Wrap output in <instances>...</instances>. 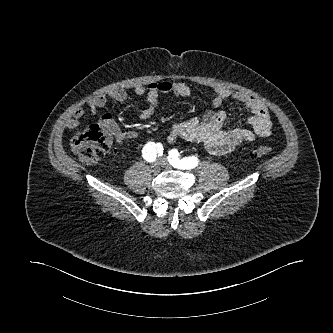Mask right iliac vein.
I'll list each match as a JSON object with an SVG mask.
<instances>
[{
  "label": "right iliac vein",
  "instance_id": "1",
  "mask_svg": "<svg viewBox=\"0 0 333 333\" xmlns=\"http://www.w3.org/2000/svg\"><path fill=\"white\" fill-rule=\"evenodd\" d=\"M151 168L154 173H158L160 171V163H154Z\"/></svg>",
  "mask_w": 333,
  "mask_h": 333
}]
</instances>
